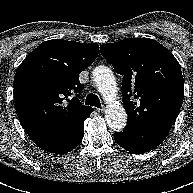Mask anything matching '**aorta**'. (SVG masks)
<instances>
[{
    "label": "aorta",
    "mask_w": 193,
    "mask_h": 193,
    "mask_svg": "<svg viewBox=\"0 0 193 193\" xmlns=\"http://www.w3.org/2000/svg\"><path fill=\"white\" fill-rule=\"evenodd\" d=\"M92 78L102 96L109 102L105 110L108 126L114 131L122 130L127 123V114L116 101L117 84L112 71L106 66H98L93 70Z\"/></svg>",
    "instance_id": "obj_1"
}]
</instances>
